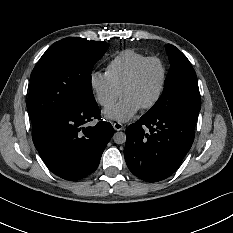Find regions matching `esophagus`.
I'll return each mask as SVG.
<instances>
[{"label": "esophagus", "instance_id": "esophagus-1", "mask_svg": "<svg viewBox=\"0 0 233 233\" xmlns=\"http://www.w3.org/2000/svg\"><path fill=\"white\" fill-rule=\"evenodd\" d=\"M113 128H114L116 131H120V130L123 129V125H122L121 123H119V122H115V123L113 124Z\"/></svg>", "mask_w": 233, "mask_h": 233}]
</instances>
